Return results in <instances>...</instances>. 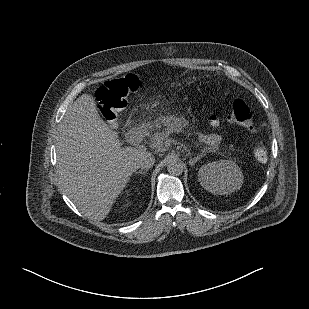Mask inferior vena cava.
Masks as SVG:
<instances>
[{
    "instance_id": "inferior-vena-cava-1",
    "label": "inferior vena cava",
    "mask_w": 309,
    "mask_h": 309,
    "mask_svg": "<svg viewBox=\"0 0 309 309\" xmlns=\"http://www.w3.org/2000/svg\"><path fill=\"white\" fill-rule=\"evenodd\" d=\"M154 163H155V158L151 156H147L139 162V168L148 170L151 167H153Z\"/></svg>"
}]
</instances>
